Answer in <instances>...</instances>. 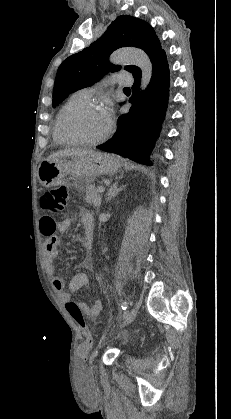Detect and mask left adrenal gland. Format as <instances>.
<instances>
[{"instance_id": "a2214340", "label": "left adrenal gland", "mask_w": 231, "mask_h": 419, "mask_svg": "<svg viewBox=\"0 0 231 419\" xmlns=\"http://www.w3.org/2000/svg\"><path fill=\"white\" fill-rule=\"evenodd\" d=\"M121 190V188H117V183L113 184V186L110 187L109 192H108V198H107V202L109 200H111L112 198H114L115 196H117V194L119 193V191Z\"/></svg>"}]
</instances>
